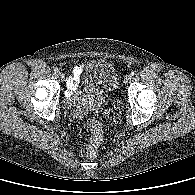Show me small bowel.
<instances>
[{
  "label": "small bowel",
  "instance_id": "small-bowel-1",
  "mask_svg": "<svg viewBox=\"0 0 195 195\" xmlns=\"http://www.w3.org/2000/svg\"><path fill=\"white\" fill-rule=\"evenodd\" d=\"M83 68H84L83 65L75 66L72 73H71V75L69 76L68 81H67V87L71 91H73L77 88L80 75L83 72Z\"/></svg>",
  "mask_w": 195,
  "mask_h": 195
}]
</instances>
